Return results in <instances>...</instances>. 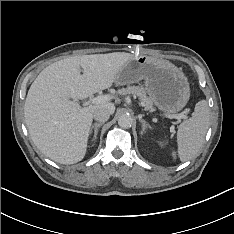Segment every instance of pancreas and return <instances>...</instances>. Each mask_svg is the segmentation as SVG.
<instances>
[{
	"label": "pancreas",
	"instance_id": "pancreas-1",
	"mask_svg": "<svg viewBox=\"0 0 234 234\" xmlns=\"http://www.w3.org/2000/svg\"><path fill=\"white\" fill-rule=\"evenodd\" d=\"M120 95L131 94L135 98L138 97L141 105L145 108V110L153 111L152 102L147 97L146 92L143 86H127L126 88H121L118 90Z\"/></svg>",
	"mask_w": 234,
	"mask_h": 234
}]
</instances>
